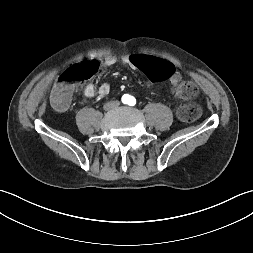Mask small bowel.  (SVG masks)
I'll use <instances>...</instances> for the list:
<instances>
[{
  "label": "small bowel",
  "mask_w": 253,
  "mask_h": 253,
  "mask_svg": "<svg viewBox=\"0 0 253 253\" xmlns=\"http://www.w3.org/2000/svg\"><path fill=\"white\" fill-rule=\"evenodd\" d=\"M136 54L143 55L144 53H134V54L126 55L123 57L122 61L133 69L143 70L142 68H140L138 65H136L135 63L131 61V56L136 55ZM99 60L106 67L113 66L117 61L116 57L111 53L103 55ZM163 78H168L170 83L176 86L178 83H180L182 75L180 71L174 68V72L171 75L163 77ZM109 92H110V85L108 83H103L99 87H96L93 83H88L83 89V94L87 98H92L96 95L103 97V96L108 95Z\"/></svg>",
  "instance_id": "1"
}]
</instances>
